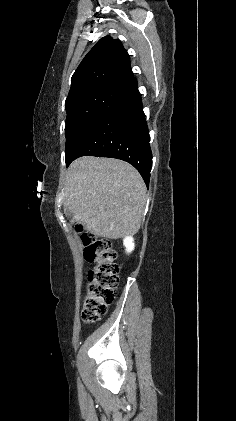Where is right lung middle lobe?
Listing matches in <instances>:
<instances>
[{
  "mask_svg": "<svg viewBox=\"0 0 236 421\" xmlns=\"http://www.w3.org/2000/svg\"><path fill=\"white\" fill-rule=\"evenodd\" d=\"M122 86L90 89L66 99V164L71 161L81 140L127 96Z\"/></svg>",
  "mask_w": 236,
  "mask_h": 421,
  "instance_id": "obj_1",
  "label": "right lung middle lobe"
}]
</instances>
